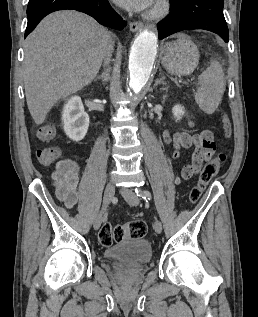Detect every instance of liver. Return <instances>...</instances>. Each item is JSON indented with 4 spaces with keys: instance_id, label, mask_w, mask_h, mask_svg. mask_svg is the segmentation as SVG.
I'll use <instances>...</instances> for the list:
<instances>
[{
    "instance_id": "1",
    "label": "liver",
    "mask_w": 258,
    "mask_h": 317,
    "mask_svg": "<svg viewBox=\"0 0 258 317\" xmlns=\"http://www.w3.org/2000/svg\"><path fill=\"white\" fill-rule=\"evenodd\" d=\"M110 40L109 30L76 10H57L39 22L25 40L23 66L27 106L36 124L59 98L92 82Z\"/></svg>"
}]
</instances>
